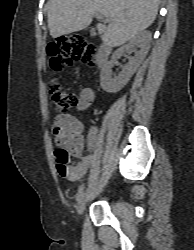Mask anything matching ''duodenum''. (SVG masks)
I'll return each instance as SVG.
<instances>
[{"instance_id": "duodenum-1", "label": "duodenum", "mask_w": 194, "mask_h": 250, "mask_svg": "<svg viewBox=\"0 0 194 250\" xmlns=\"http://www.w3.org/2000/svg\"><path fill=\"white\" fill-rule=\"evenodd\" d=\"M110 53L111 47L105 42L101 43L96 56V65L98 67L104 66L109 59Z\"/></svg>"}]
</instances>
